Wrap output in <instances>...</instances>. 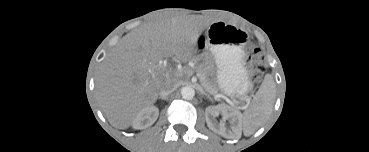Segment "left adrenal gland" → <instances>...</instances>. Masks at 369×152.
<instances>
[{"instance_id":"1","label":"left adrenal gland","mask_w":369,"mask_h":152,"mask_svg":"<svg viewBox=\"0 0 369 152\" xmlns=\"http://www.w3.org/2000/svg\"><path fill=\"white\" fill-rule=\"evenodd\" d=\"M208 98H209V95L205 94Z\"/></svg>"}]
</instances>
